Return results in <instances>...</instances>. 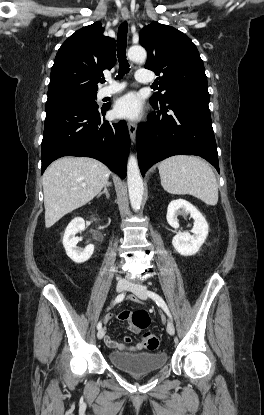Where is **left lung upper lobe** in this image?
Returning a JSON list of instances; mask_svg holds the SVG:
<instances>
[{
	"label": "left lung upper lobe",
	"instance_id": "left-lung-upper-lobe-1",
	"mask_svg": "<svg viewBox=\"0 0 264 415\" xmlns=\"http://www.w3.org/2000/svg\"><path fill=\"white\" fill-rule=\"evenodd\" d=\"M140 43L147 50L145 68L159 77V91L150 103L164 104L184 94L209 96L204 64L195 44L181 31L158 22L141 30Z\"/></svg>",
	"mask_w": 264,
	"mask_h": 415
}]
</instances>
